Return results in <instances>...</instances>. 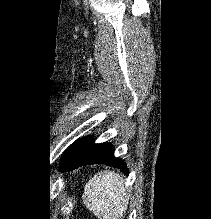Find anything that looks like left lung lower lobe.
Segmentation results:
<instances>
[{
    "label": "left lung lower lobe",
    "instance_id": "1",
    "mask_svg": "<svg viewBox=\"0 0 211 219\" xmlns=\"http://www.w3.org/2000/svg\"><path fill=\"white\" fill-rule=\"evenodd\" d=\"M87 164H105L121 169L128 175V169L123 160L116 158L113 147L108 143L95 144L92 136L75 141L62 156L60 169L73 170Z\"/></svg>",
    "mask_w": 211,
    "mask_h": 219
}]
</instances>
